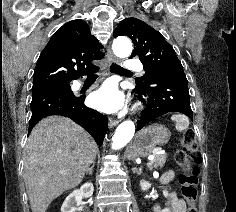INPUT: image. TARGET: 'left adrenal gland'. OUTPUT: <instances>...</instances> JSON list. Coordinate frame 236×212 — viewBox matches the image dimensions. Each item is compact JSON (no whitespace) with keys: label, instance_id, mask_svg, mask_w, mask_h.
<instances>
[{"label":"left adrenal gland","instance_id":"a2214340","mask_svg":"<svg viewBox=\"0 0 236 212\" xmlns=\"http://www.w3.org/2000/svg\"><path fill=\"white\" fill-rule=\"evenodd\" d=\"M132 171H133V173H137V174H139V171H138L137 168H132Z\"/></svg>","mask_w":236,"mask_h":212}]
</instances>
